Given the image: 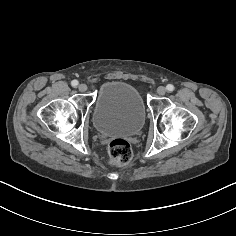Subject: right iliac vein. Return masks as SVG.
Wrapping results in <instances>:
<instances>
[{
    "label": "right iliac vein",
    "instance_id": "1",
    "mask_svg": "<svg viewBox=\"0 0 236 236\" xmlns=\"http://www.w3.org/2000/svg\"><path fill=\"white\" fill-rule=\"evenodd\" d=\"M78 89L80 92H85L88 89V87L86 84L82 83L78 86Z\"/></svg>",
    "mask_w": 236,
    "mask_h": 236
}]
</instances>
